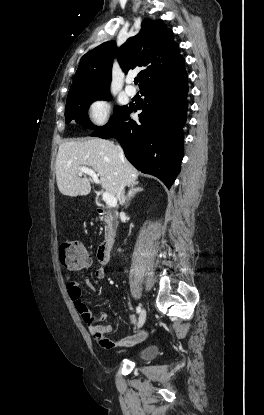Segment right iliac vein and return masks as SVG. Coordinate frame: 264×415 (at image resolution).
I'll use <instances>...</instances> for the list:
<instances>
[{
  "label": "right iliac vein",
  "instance_id": "right-iliac-vein-1",
  "mask_svg": "<svg viewBox=\"0 0 264 415\" xmlns=\"http://www.w3.org/2000/svg\"><path fill=\"white\" fill-rule=\"evenodd\" d=\"M145 321H146V310L143 309L140 316H139L137 327L138 328L142 327L143 324L145 323Z\"/></svg>",
  "mask_w": 264,
  "mask_h": 415
}]
</instances>
